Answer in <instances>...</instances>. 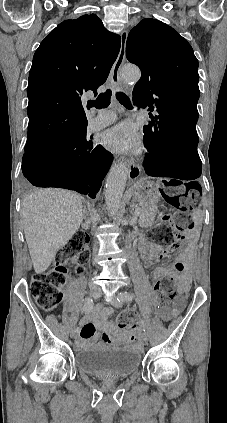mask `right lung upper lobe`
Segmentation results:
<instances>
[{
  "instance_id": "obj_1",
  "label": "right lung upper lobe",
  "mask_w": 227,
  "mask_h": 423,
  "mask_svg": "<svg viewBox=\"0 0 227 423\" xmlns=\"http://www.w3.org/2000/svg\"><path fill=\"white\" fill-rule=\"evenodd\" d=\"M120 45V36L109 32L94 14L63 21L41 42L29 73L25 151L87 125L83 93L92 90L97 95ZM41 107L55 113L36 116Z\"/></svg>"
}]
</instances>
